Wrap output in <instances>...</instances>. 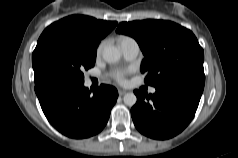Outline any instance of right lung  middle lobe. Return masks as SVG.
Wrapping results in <instances>:
<instances>
[{"label":"right lung middle lobe","mask_w":238,"mask_h":158,"mask_svg":"<svg viewBox=\"0 0 238 158\" xmlns=\"http://www.w3.org/2000/svg\"><path fill=\"white\" fill-rule=\"evenodd\" d=\"M98 44L82 34L47 27L32 55L34 75L53 72L84 82V70L94 66Z\"/></svg>","instance_id":"1"}]
</instances>
